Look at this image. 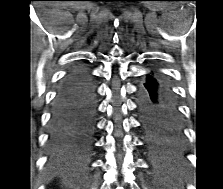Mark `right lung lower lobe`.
Returning a JSON list of instances; mask_svg holds the SVG:
<instances>
[{
	"label": "right lung lower lobe",
	"mask_w": 223,
	"mask_h": 189,
	"mask_svg": "<svg viewBox=\"0 0 223 189\" xmlns=\"http://www.w3.org/2000/svg\"><path fill=\"white\" fill-rule=\"evenodd\" d=\"M96 117L93 76L84 66L73 67L58 88L50 124L54 153H82L92 139Z\"/></svg>",
	"instance_id": "98d812e1"
}]
</instances>
